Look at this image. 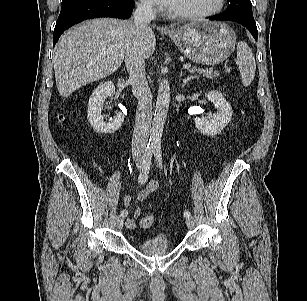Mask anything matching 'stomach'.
Returning <instances> with one entry per match:
<instances>
[{
	"label": "stomach",
	"instance_id": "1",
	"mask_svg": "<svg viewBox=\"0 0 307 301\" xmlns=\"http://www.w3.org/2000/svg\"><path fill=\"white\" fill-rule=\"evenodd\" d=\"M169 36L188 59L206 65L227 59L236 43L233 29L222 22L189 23Z\"/></svg>",
	"mask_w": 307,
	"mask_h": 301
}]
</instances>
